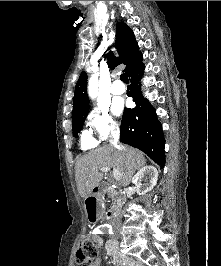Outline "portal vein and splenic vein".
Here are the masks:
<instances>
[{"label": "portal vein and splenic vein", "mask_w": 221, "mask_h": 266, "mask_svg": "<svg viewBox=\"0 0 221 266\" xmlns=\"http://www.w3.org/2000/svg\"><path fill=\"white\" fill-rule=\"evenodd\" d=\"M110 169H111L110 167H101L100 171L106 173V172L110 171ZM113 175H114V178L116 181H119L121 179V174L119 173V171L117 169L113 168Z\"/></svg>", "instance_id": "1"}]
</instances>
